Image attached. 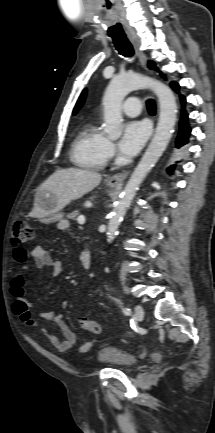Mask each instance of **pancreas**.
<instances>
[{"instance_id": "pancreas-1", "label": "pancreas", "mask_w": 215, "mask_h": 433, "mask_svg": "<svg viewBox=\"0 0 215 433\" xmlns=\"http://www.w3.org/2000/svg\"><path fill=\"white\" fill-rule=\"evenodd\" d=\"M78 215H79V211H78V210H75V211H73L72 213H70L67 217H68V219H73V220H75V217L78 216Z\"/></svg>"}]
</instances>
